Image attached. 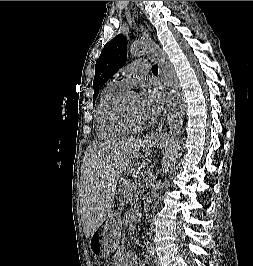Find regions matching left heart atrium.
<instances>
[{"mask_svg": "<svg viewBox=\"0 0 253 266\" xmlns=\"http://www.w3.org/2000/svg\"><path fill=\"white\" fill-rule=\"evenodd\" d=\"M163 102L164 93L153 84L145 85L139 94V104L145 118H151L158 114Z\"/></svg>", "mask_w": 253, "mask_h": 266, "instance_id": "obj_1", "label": "left heart atrium"}]
</instances>
